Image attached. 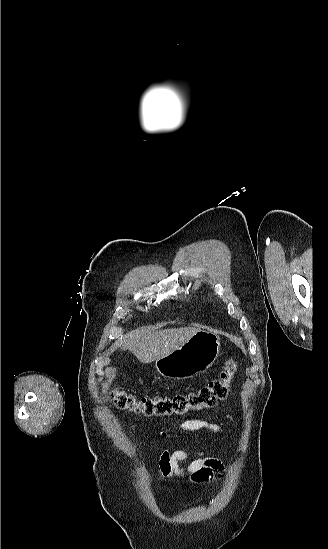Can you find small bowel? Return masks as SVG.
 <instances>
[{"label": "small bowel", "mask_w": 328, "mask_h": 549, "mask_svg": "<svg viewBox=\"0 0 328 549\" xmlns=\"http://www.w3.org/2000/svg\"><path fill=\"white\" fill-rule=\"evenodd\" d=\"M177 427L188 432L208 430L212 433H220L222 430L219 424L202 419H187L178 423ZM161 435L165 436L166 433ZM186 462L187 464L184 465ZM155 464L163 477L189 476L191 481L197 483L209 481L214 472L222 468L220 460L209 456L203 450L191 453L183 449L172 451L169 448H163Z\"/></svg>", "instance_id": "c3829d8e"}]
</instances>
